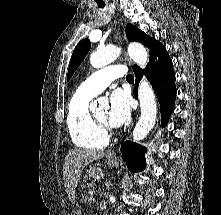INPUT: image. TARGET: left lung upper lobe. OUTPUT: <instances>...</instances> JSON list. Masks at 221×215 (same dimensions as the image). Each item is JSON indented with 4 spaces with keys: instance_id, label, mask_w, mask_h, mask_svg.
Instances as JSON below:
<instances>
[{
    "instance_id": "1",
    "label": "left lung upper lobe",
    "mask_w": 221,
    "mask_h": 215,
    "mask_svg": "<svg viewBox=\"0 0 221 215\" xmlns=\"http://www.w3.org/2000/svg\"><path fill=\"white\" fill-rule=\"evenodd\" d=\"M126 36L129 41H138L144 44L150 50V57L155 52V50L161 45V43L154 38L147 36L143 31L139 30L136 26L132 24H127L126 26ZM90 41L88 39L81 40L75 47L68 69L67 81L71 78L77 67L84 60L86 54L90 50ZM138 68L134 65L133 69Z\"/></svg>"
}]
</instances>
